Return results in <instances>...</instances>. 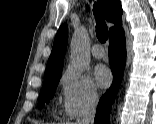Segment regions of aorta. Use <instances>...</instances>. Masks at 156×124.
Returning a JSON list of instances; mask_svg holds the SVG:
<instances>
[{"label": "aorta", "mask_w": 156, "mask_h": 124, "mask_svg": "<svg viewBox=\"0 0 156 124\" xmlns=\"http://www.w3.org/2000/svg\"><path fill=\"white\" fill-rule=\"evenodd\" d=\"M89 37L87 30L81 27L76 30L71 39V63L75 70L84 72L90 66Z\"/></svg>", "instance_id": "762f6f07"}]
</instances>
